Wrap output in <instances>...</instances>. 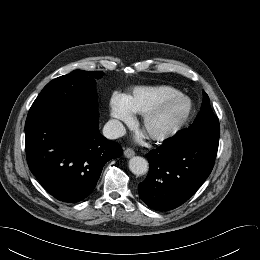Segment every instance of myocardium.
<instances>
[{"mask_svg":"<svg viewBox=\"0 0 260 260\" xmlns=\"http://www.w3.org/2000/svg\"><path fill=\"white\" fill-rule=\"evenodd\" d=\"M181 100L184 103V111L182 116L177 120L176 123H174L172 126L156 132H148L146 130V127L149 123V121L157 115L166 105L176 101ZM194 110V104L193 101L185 94L178 93L172 96H169L167 98L162 99L158 103H156L154 106L149 108L147 111H145L142 114L140 125L142 129L148 134V136L157 142H162L165 140H168L175 135H177L188 123L189 119L191 118Z\"/></svg>","mask_w":260,"mask_h":260,"instance_id":"myocardium-1","label":"myocardium"}]
</instances>
